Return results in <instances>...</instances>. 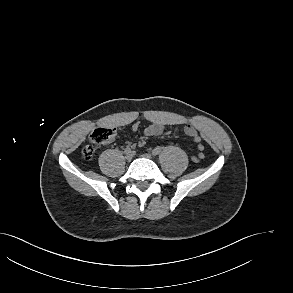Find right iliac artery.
I'll use <instances>...</instances> for the list:
<instances>
[{"label":"right iliac artery","mask_w":293,"mask_h":293,"mask_svg":"<svg viewBox=\"0 0 293 293\" xmlns=\"http://www.w3.org/2000/svg\"><path fill=\"white\" fill-rule=\"evenodd\" d=\"M126 154H128V153H132V151H131V148H129V147H127L126 149H125V151H124ZM134 153V152H133Z\"/></svg>","instance_id":"right-iliac-artery-1"}]
</instances>
